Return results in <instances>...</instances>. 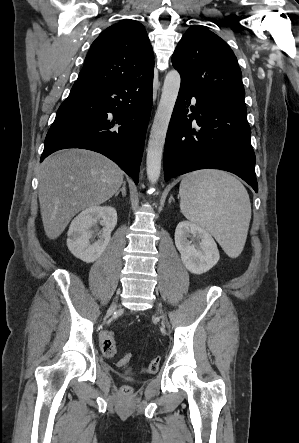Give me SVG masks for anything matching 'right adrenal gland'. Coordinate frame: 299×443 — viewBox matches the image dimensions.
Returning a JSON list of instances; mask_svg holds the SVG:
<instances>
[{
  "label": "right adrenal gland",
  "instance_id": "right-adrenal-gland-1",
  "mask_svg": "<svg viewBox=\"0 0 299 443\" xmlns=\"http://www.w3.org/2000/svg\"><path fill=\"white\" fill-rule=\"evenodd\" d=\"M120 192L122 193L123 197L126 196V182L125 181L123 182L122 188L116 192L115 197H117Z\"/></svg>",
  "mask_w": 299,
  "mask_h": 443
}]
</instances>
